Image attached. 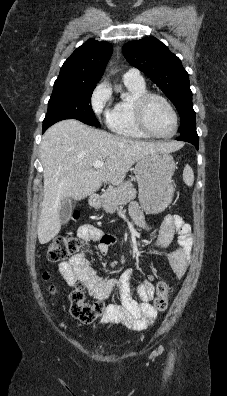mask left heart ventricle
<instances>
[{"mask_svg": "<svg viewBox=\"0 0 227 396\" xmlns=\"http://www.w3.org/2000/svg\"><path fill=\"white\" fill-rule=\"evenodd\" d=\"M146 120L156 133L167 135L174 130V118L169 108L159 99H152L146 109Z\"/></svg>", "mask_w": 227, "mask_h": 396, "instance_id": "1", "label": "left heart ventricle"}]
</instances>
